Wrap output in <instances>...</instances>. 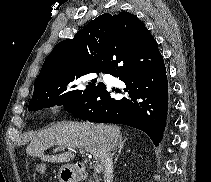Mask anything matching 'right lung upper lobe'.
I'll return each mask as SVG.
<instances>
[{"label": "right lung upper lobe", "instance_id": "1", "mask_svg": "<svg viewBox=\"0 0 211 182\" xmlns=\"http://www.w3.org/2000/svg\"><path fill=\"white\" fill-rule=\"evenodd\" d=\"M147 35H150L148 29L128 12L102 14L73 39L61 41L54 47L34 82V90L92 70H102L117 48Z\"/></svg>", "mask_w": 211, "mask_h": 182}]
</instances>
